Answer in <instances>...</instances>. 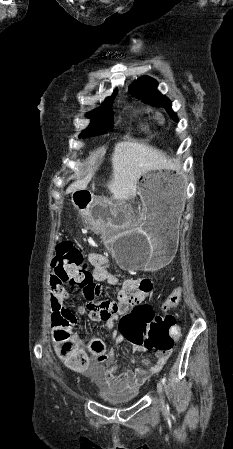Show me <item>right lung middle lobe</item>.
I'll use <instances>...</instances> for the list:
<instances>
[{"label":"right lung middle lobe","instance_id":"right-lung-middle-lobe-1","mask_svg":"<svg viewBox=\"0 0 233 449\" xmlns=\"http://www.w3.org/2000/svg\"><path fill=\"white\" fill-rule=\"evenodd\" d=\"M116 94L108 97L100 108L90 112V114L88 115V117L91 119L89 128L83 131L79 137L87 138L100 135L108 131L113 126L114 117L111 106Z\"/></svg>","mask_w":233,"mask_h":449}]
</instances>
